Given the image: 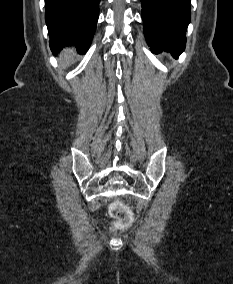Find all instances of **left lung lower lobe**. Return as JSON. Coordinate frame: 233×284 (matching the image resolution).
Listing matches in <instances>:
<instances>
[{"label":"left lung lower lobe","mask_w":233,"mask_h":284,"mask_svg":"<svg viewBox=\"0 0 233 284\" xmlns=\"http://www.w3.org/2000/svg\"><path fill=\"white\" fill-rule=\"evenodd\" d=\"M191 0H141L144 34L153 53L184 51Z\"/></svg>","instance_id":"0a47b994"}]
</instances>
